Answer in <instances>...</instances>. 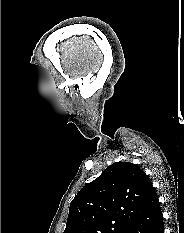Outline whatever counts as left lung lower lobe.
<instances>
[{
  "label": "left lung lower lobe",
  "instance_id": "1",
  "mask_svg": "<svg viewBox=\"0 0 184 233\" xmlns=\"http://www.w3.org/2000/svg\"><path fill=\"white\" fill-rule=\"evenodd\" d=\"M129 233H164L162 211L155 190Z\"/></svg>",
  "mask_w": 184,
  "mask_h": 233
}]
</instances>
